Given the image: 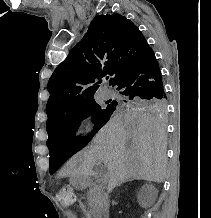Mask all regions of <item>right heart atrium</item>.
Segmentation results:
<instances>
[{
    "instance_id": "d8ad5b80",
    "label": "right heart atrium",
    "mask_w": 211,
    "mask_h": 218,
    "mask_svg": "<svg viewBox=\"0 0 211 218\" xmlns=\"http://www.w3.org/2000/svg\"><path fill=\"white\" fill-rule=\"evenodd\" d=\"M96 125L97 123L94 117L92 116L85 117L79 123V132L84 135H88L94 131Z\"/></svg>"
}]
</instances>
